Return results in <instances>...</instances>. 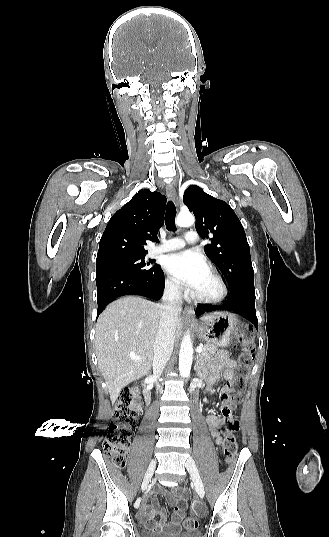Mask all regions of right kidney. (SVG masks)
<instances>
[{"mask_svg": "<svg viewBox=\"0 0 329 537\" xmlns=\"http://www.w3.org/2000/svg\"><path fill=\"white\" fill-rule=\"evenodd\" d=\"M135 392H136V393H137V395H138V389H137V390H136ZM134 394H135V393H134Z\"/></svg>", "mask_w": 329, "mask_h": 537, "instance_id": "obj_1", "label": "right kidney"}]
</instances>
